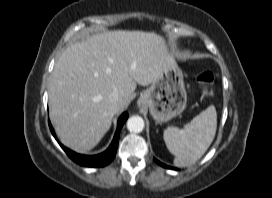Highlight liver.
Here are the masks:
<instances>
[{
	"instance_id": "liver-1",
	"label": "liver",
	"mask_w": 272,
	"mask_h": 198,
	"mask_svg": "<svg viewBox=\"0 0 272 198\" xmlns=\"http://www.w3.org/2000/svg\"><path fill=\"white\" fill-rule=\"evenodd\" d=\"M175 63L165 40L154 32L104 31L61 54L50 85V118L60 141L77 152L93 149L115 114L128 106L137 84H152ZM118 90L120 100L109 95Z\"/></svg>"
}]
</instances>
